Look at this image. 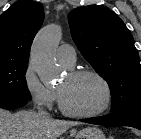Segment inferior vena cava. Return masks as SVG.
<instances>
[{
	"instance_id": "1",
	"label": "inferior vena cava",
	"mask_w": 141,
	"mask_h": 139,
	"mask_svg": "<svg viewBox=\"0 0 141 139\" xmlns=\"http://www.w3.org/2000/svg\"><path fill=\"white\" fill-rule=\"evenodd\" d=\"M38 115L43 117V118H49L50 115L48 112H46L45 110H43L40 106L38 107Z\"/></svg>"
}]
</instances>
